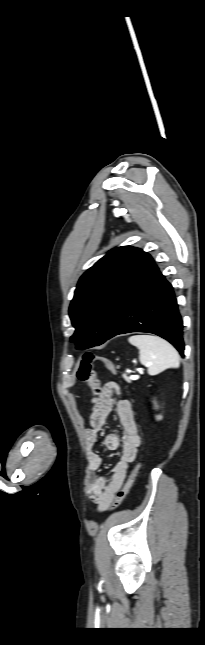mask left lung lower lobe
I'll return each mask as SVG.
<instances>
[{"label":"left lung lower lobe","mask_w":205,"mask_h":645,"mask_svg":"<svg viewBox=\"0 0 205 645\" xmlns=\"http://www.w3.org/2000/svg\"><path fill=\"white\" fill-rule=\"evenodd\" d=\"M182 330L172 285L152 257L141 251L119 294L104 342L119 334L148 332L166 339L184 356Z\"/></svg>","instance_id":"0a47b994"}]
</instances>
